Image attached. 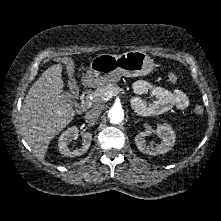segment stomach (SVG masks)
Returning <instances> with one entry per match:
<instances>
[{"label":"stomach","instance_id":"1","mask_svg":"<svg viewBox=\"0 0 221 221\" xmlns=\"http://www.w3.org/2000/svg\"><path fill=\"white\" fill-rule=\"evenodd\" d=\"M152 70V59L142 51H129L120 55L100 54L91 61L84 81L89 86H99L118 82L122 76H145Z\"/></svg>","mask_w":221,"mask_h":221}]
</instances>
